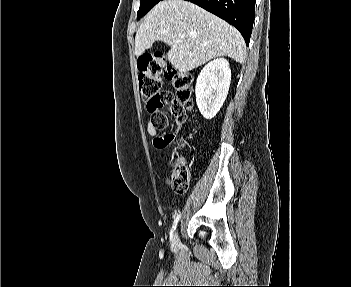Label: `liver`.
<instances>
[{
    "label": "liver",
    "mask_w": 351,
    "mask_h": 287,
    "mask_svg": "<svg viewBox=\"0 0 351 287\" xmlns=\"http://www.w3.org/2000/svg\"><path fill=\"white\" fill-rule=\"evenodd\" d=\"M155 41L171 47L167 59L181 73L215 57L228 56L238 63L246 58L245 41L235 27L185 0H163L146 15L135 36L136 56Z\"/></svg>",
    "instance_id": "obj_1"
}]
</instances>
